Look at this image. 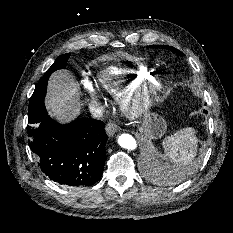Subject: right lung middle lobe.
<instances>
[{"label": "right lung middle lobe", "instance_id": "dd1d6c3e", "mask_svg": "<svg viewBox=\"0 0 233 233\" xmlns=\"http://www.w3.org/2000/svg\"><path fill=\"white\" fill-rule=\"evenodd\" d=\"M69 57H70V53L63 54L57 57L54 64L44 74V76L40 79L37 85H39L40 82L47 80L54 71L58 69H63L66 66ZM45 94H46L45 89L41 90L40 88L36 87L29 102V109H28L29 126L27 127V133L29 135L30 140L33 137V135L36 133L41 121L47 115V111L44 106Z\"/></svg>", "mask_w": 233, "mask_h": 233}]
</instances>
